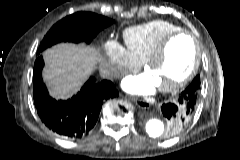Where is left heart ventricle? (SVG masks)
<instances>
[{
	"label": "left heart ventricle",
	"mask_w": 240,
	"mask_h": 160,
	"mask_svg": "<svg viewBox=\"0 0 240 160\" xmlns=\"http://www.w3.org/2000/svg\"><path fill=\"white\" fill-rule=\"evenodd\" d=\"M195 50L187 36L174 38L159 61L152 64L146 74L156 87L169 85L183 78L194 63Z\"/></svg>",
	"instance_id": "b2bd125f"
}]
</instances>
